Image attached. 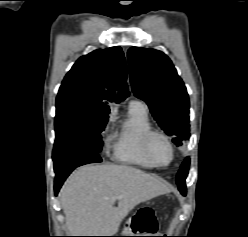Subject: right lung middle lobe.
I'll return each mask as SVG.
<instances>
[{
	"label": "right lung middle lobe",
	"instance_id": "1",
	"mask_svg": "<svg viewBox=\"0 0 248 237\" xmlns=\"http://www.w3.org/2000/svg\"><path fill=\"white\" fill-rule=\"evenodd\" d=\"M108 121V114H100L82 106L56 104L54 149L80 150L99 153L102 149L101 132Z\"/></svg>",
	"mask_w": 248,
	"mask_h": 237
}]
</instances>
